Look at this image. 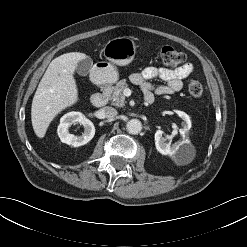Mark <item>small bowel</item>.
Returning <instances> with one entry per match:
<instances>
[{
    "mask_svg": "<svg viewBox=\"0 0 247 247\" xmlns=\"http://www.w3.org/2000/svg\"><path fill=\"white\" fill-rule=\"evenodd\" d=\"M194 71L192 63L187 62L176 68H161L149 66L141 72L133 73L130 77L132 83L141 87L144 93V99L154 100L155 95H168L181 90L183 80ZM159 78L165 82V85L154 87L149 81Z\"/></svg>",
    "mask_w": 247,
    "mask_h": 247,
    "instance_id": "small-bowel-1",
    "label": "small bowel"
}]
</instances>
